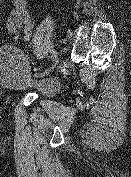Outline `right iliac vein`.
<instances>
[{"instance_id":"63e3f726","label":"right iliac vein","mask_w":131,"mask_h":177,"mask_svg":"<svg viewBox=\"0 0 131 177\" xmlns=\"http://www.w3.org/2000/svg\"><path fill=\"white\" fill-rule=\"evenodd\" d=\"M57 60H58V55H57V52H56V57H55V58H52V65H51V67H50L47 71L42 72L40 75H41V76H45V75H47L49 72H51L52 69L55 67V64L57 63Z\"/></svg>"}]
</instances>
